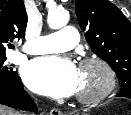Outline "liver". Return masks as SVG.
Segmentation results:
<instances>
[{"instance_id":"1","label":"liver","mask_w":131,"mask_h":115,"mask_svg":"<svg viewBox=\"0 0 131 115\" xmlns=\"http://www.w3.org/2000/svg\"><path fill=\"white\" fill-rule=\"evenodd\" d=\"M0 115H19V113L14 112L10 108L0 105Z\"/></svg>"}]
</instances>
